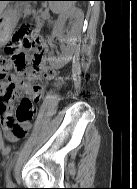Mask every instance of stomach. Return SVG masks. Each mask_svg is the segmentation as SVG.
Returning a JSON list of instances; mask_svg holds the SVG:
<instances>
[{"label": "stomach", "instance_id": "stomach-1", "mask_svg": "<svg viewBox=\"0 0 137 189\" xmlns=\"http://www.w3.org/2000/svg\"><path fill=\"white\" fill-rule=\"evenodd\" d=\"M17 11L8 7L3 13L0 14V36L9 34L15 25Z\"/></svg>", "mask_w": 137, "mask_h": 189}]
</instances>
